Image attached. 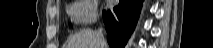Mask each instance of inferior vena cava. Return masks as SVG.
I'll use <instances>...</instances> for the list:
<instances>
[{"mask_svg":"<svg viewBox=\"0 0 213 48\" xmlns=\"http://www.w3.org/2000/svg\"><path fill=\"white\" fill-rule=\"evenodd\" d=\"M97 39H98L99 44L101 45L100 46L101 48H104L105 45H107L106 41L104 39L103 29L102 28L98 29V31H97Z\"/></svg>","mask_w":213,"mask_h":48,"instance_id":"inferior-vena-cava-1","label":"inferior vena cava"}]
</instances>
